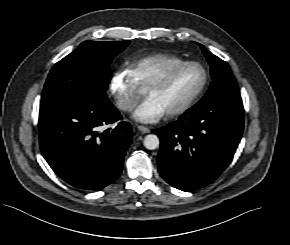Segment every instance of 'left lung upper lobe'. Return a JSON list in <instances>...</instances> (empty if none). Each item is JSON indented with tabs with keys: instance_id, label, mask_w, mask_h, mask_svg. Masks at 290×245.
<instances>
[{
	"instance_id": "left-lung-upper-lobe-1",
	"label": "left lung upper lobe",
	"mask_w": 290,
	"mask_h": 245,
	"mask_svg": "<svg viewBox=\"0 0 290 245\" xmlns=\"http://www.w3.org/2000/svg\"><path fill=\"white\" fill-rule=\"evenodd\" d=\"M211 69L212 83L205 96L199 102L212 101L219 98H241L239 87L229 65L200 45Z\"/></svg>"
}]
</instances>
